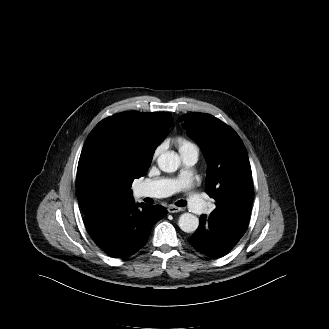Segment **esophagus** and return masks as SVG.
Here are the masks:
<instances>
[{
  "mask_svg": "<svg viewBox=\"0 0 329 329\" xmlns=\"http://www.w3.org/2000/svg\"><path fill=\"white\" fill-rule=\"evenodd\" d=\"M183 211V208H180V207H177V206H174V205H169L168 206V212L169 213H177V212H181Z\"/></svg>",
  "mask_w": 329,
  "mask_h": 329,
  "instance_id": "esophagus-1",
  "label": "esophagus"
}]
</instances>
